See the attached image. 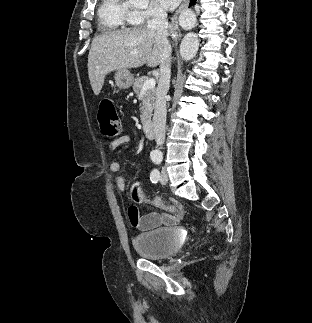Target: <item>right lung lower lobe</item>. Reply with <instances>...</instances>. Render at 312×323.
I'll return each mask as SVG.
<instances>
[{"mask_svg":"<svg viewBox=\"0 0 312 323\" xmlns=\"http://www.w3.org/2000/svg\"><path fill=\"white\" fill-rule=\"evenodd\" d=\"M196 2V0H190V5L194 4Z\"/></svg>","mask_w":312,"mask_h":323,"instance_id":"obj_1","label":"right lung lower lobe"}]
</instances>
